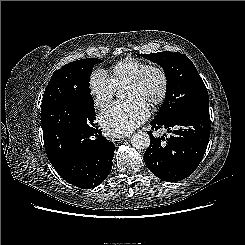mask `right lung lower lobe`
I'll return each mask as SVG.
<instances>
[{"label": "right lung lower lobe", "instance_id": "obj_1", "mask_svg": "<svg viewBox=\"0 0 245 245\" xmlns=\"http://www.w3.org/2000/svg\"><path fill=\"white\" fill-rule=\"evenodd\" d=\"M43 127L46 154L54 169L68 183L91 189L111 172L114 144L100 130Z\"/></svg>", "mask_w": 245, "mask_h": 245}]
</instances>
